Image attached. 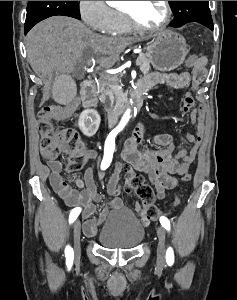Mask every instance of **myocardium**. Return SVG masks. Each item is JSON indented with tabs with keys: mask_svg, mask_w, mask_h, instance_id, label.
<instances>
[{
	"mask_svg": "<svg viewBox=\"0 0 237 300\" xmlns=\"http://www.w3.org/2000/svg\"><path fill=\"white\" fill-rule=\"evenodd\" d=\"M163 2H164V6H165V17H164V20L162 21V23L155 27H147V26L139 24L136 21L133 14L125 8H122L121 11H122V14L124 15L126 21L128 22V24L130 25V27L132 29L137 30V31H143V32H160L167 28V26L169 25V23L171 21V15H172L170 1H163Z\"/></svg>",
	"mask_w": 237,
	"mask_h": 300,
	"instance_id": "obj_1",
	"label": "myocardium"
}]
</instances>
